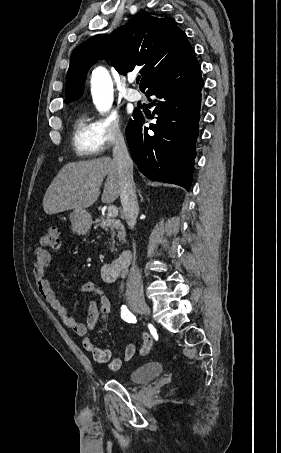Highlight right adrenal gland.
Instances as JSON below:
<instances>
[{
    "instance_id": "obj_1",
    "label": "right adrenal gland",
    "mask_w": 281,
    "mask_h": 453,
    "mask_svg": "<svg viewBox=\"0 0 281 453\" xmlns=\"http://www.w3.org/2000/svg\"><path fill=\"white\" fill-rule=\"evenodd\" d=\"M138 194H139V196H140V200H141V202H143V200H144V196H142V194H141L140 190H138Z\"/></svg>"
}]
</instances>
